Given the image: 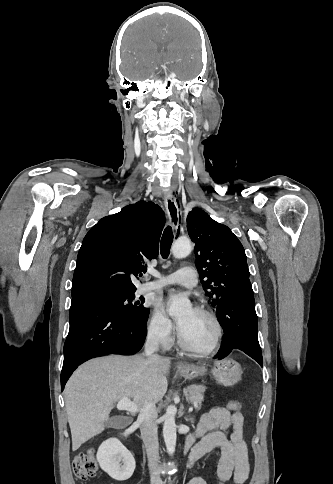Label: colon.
Returning <instances> with one entry per match:
<instances>
[{
  "mask_svg": "<svg viewBox=\"0 0 333 484\" xmlns=\"http://www.w3.org/2000/svg\"><path fill=\"white\" fill-rule=\"evenodd\" d=\"M231 411H240L242 409V402L240 400H232L225 406ZM98 471V463L93 449L78 453L73 459V472L78 479L88 480L96 475Z\"/></svg>",
  "mask_w": 333,
  "mask_h": 484,
  "instance_id": "colon-1",
  "label": "colon"
}]
</instances>
